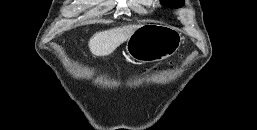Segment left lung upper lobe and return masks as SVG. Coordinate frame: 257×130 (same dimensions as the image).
I'll use <instances>...</instances> for the list:
<instances>
[{
    "label": "left lung upper lobe",
    "mask_w": 257,
    "mask_h": 130,
    "mask_svg": "<svg viewBox=\"0 0 257 130\" xmlns=\"http://www.w3.org/2000/svg\"><path fill=\"white\" fill-rule=\"evenodd\" d=\"M164 5H171L175 7H181L184 5V0H161Z\"/></svg>",
    "instance_id": "left-lung-upper-lobe-1"
}]
</instances>
